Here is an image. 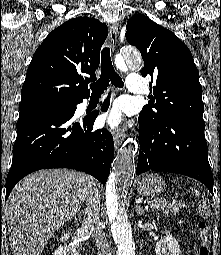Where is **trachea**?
<instances>
[{"label":"trachea","mask_w":221,"mask_h":255,"mask_svg":"<svg viewBox=\"0 0 221 255\" xmlns=\"http://www.w3.org/2000/svg\"><path fill=\"white\" fill-rule=\"evenodd\" d=\"M109 82L115 87L122 88L124 83L121 77L115 72L111 57H110V49L108 47H104L101 54V75L98 81L90 84V88L93 94L103 93L105 89H107Z\"/></svg>","instance_id":"1"}]
</instances>
